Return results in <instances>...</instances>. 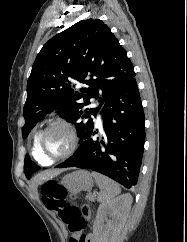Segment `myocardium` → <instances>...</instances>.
<instances>
[{
    "instance_id": "myocardium-1",
    "label": "myocardium",
    "mask_w": 187,
    "mask_h": 242,
    "mask_svg": "<svg viewBox=\"0 0 187 242\" xmlns=\"http://www.w3.org/2000/svg\"><path fill=\"white\" fill-rule=\"evenodd\" d=\"M55 127H61L68 132L69 146L64 153H62L60 155H56V156H50V155H47L43 149V140H44L45 136L47 135V133ZM78 142H79V137H78V133H77L75 125L66 119L58 118V119H55L52 122H50L41 131V133L39 135V139H38V148H39L40 153L48 161H50L52 163L53 161L62 160V159L69 157L70 155H72L78 146Z\"/></svg>"
}]
</instances>
